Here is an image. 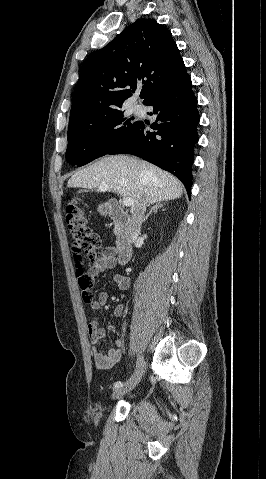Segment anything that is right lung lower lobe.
<instances>
[{"label":"right lung lower lobe","instance_id":"obj_1","mask_svg":"<svg viewBox=\"0 0 266 479\" xmlns=\"http://www.w3.org/2000/svg\"><path fill=\"white\" fill-rule=\"evenodd\" d=\"M153 106L156 121L147 131L137 121L127 135L108 154H132L177 176L191 193L193 147L198 142L199 113L191 78L180 79L155 91L144 103Z\"/></svg>","mask_w":266,"mask_h":479}]
</instances>
